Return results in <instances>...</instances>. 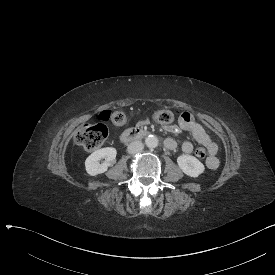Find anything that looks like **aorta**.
I'll return each instance as SVG.
<instances>
[{
  "label": "aorta",
  "instance_id": "1",
  "mask_svg": "<svg viewBox=\"0 0 275 275\" xmlns=\"http://www.w3.org/2000/svg\"><path fill=\"white\" fill-rule=\"evenodd\" d=\"M158 144V139L154 135H149L145 138V145L149 148H154Z\"/></svg>",
  "mask_w": 275,
  "mask_h": 275
}]
</instances>
